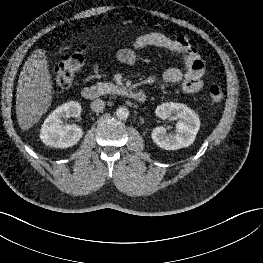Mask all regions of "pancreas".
I'll return each mask as SVG.
<instances>
[{
    "instance_id": "pancreas-1",
    "label": "pancreas",
    "mask_w": 263,
    "mask_h": 263,
    "mask_svg": "<svg viewBox=\"0 0 263 263\" xmlns=\"http://www.w3.org/2000/svg\"><path fill=\"white\" fill-rule=\"evenodd\" d=\"M95 87L99 95L120 94L122 91V88L113 83L98 82Z\"/></svg>"
}]
</instances>
